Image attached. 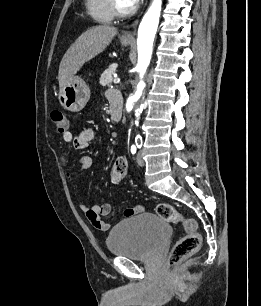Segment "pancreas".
Here are the masks:
<instances>
[{
	"mask_svg": "<svg viewBox=\"0 0 261 306\" xmlns=\"http://www.w3.org/2000/svg\"><path fill=\"white\" fill-rule=\"evenodd\" d=\"M117 68L116 64H112L106 69L100 77L99 83L102 86H109L113 81V74L115 73Z\"/></svg>",
	"mask_w": 261,
	"mask_h": 306,
	"instance_id": "cf45deb5",
	"label": "pancreas"
}]
</instances>
